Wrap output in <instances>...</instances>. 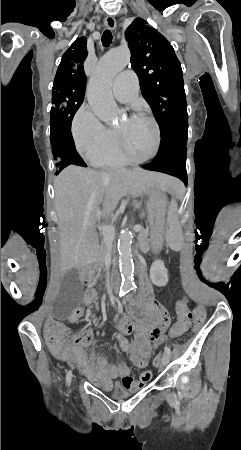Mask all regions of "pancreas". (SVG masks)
<instances>
[{
  "instance_id": "1",
  "label": "pancreas",
  "mask_w": 241,
  "mask_h": 450,
  "mask_svg": "<svg viewBox=\"0 0 241 450\" xmlns=\"http://www.w3.org/2000/svg\"><path fill=\"white\" fill-rule=\"evenodd\" d=\"M145 227H142L141 231H135V232H139L138 233V238L137 241L140 243L141 246H143L144 250H152V245L150 242V238L148 236H146V232H145ZM138 243V244H139ZM110 242L109 240H102L101 242V246L99 248V254H98V260H97V266H99V268H104L105 266V258H106V254L108 252V246H109ZM93 274V272H92ZM95 280H92V282H90V284H94Z\"/></svg>"
}]
</instances>
